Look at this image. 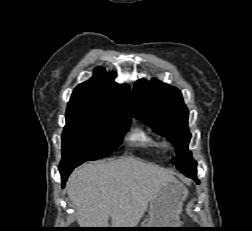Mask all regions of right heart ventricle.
<instances>
[{"mask_svg": "<svg viewBox=\"0 0 252 231\" xmlns=\"http://www.w3.org/2000/svg\"><path fill=\"white\" fill-rule=\"evenodd\" d=\"M130 144L143 148H159L161 145L159 141L143 128L134 129L127 137Z\"/></svg>", "mask_w": 252, "mask_h": 231, "instance_id": "e07e8e85", "label": "right heart ventricle"}]
</instances>
